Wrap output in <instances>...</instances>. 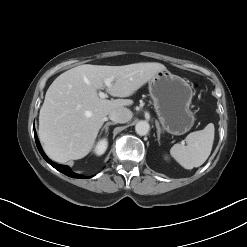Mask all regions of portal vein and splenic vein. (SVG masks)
<instances>
[{
  "label": "portal vein and splenic vein",
  "instance_id": "1",
  "mask_svg": "<svg viewBox=\"0 0 247 247\" xmlns=\"http://www.w3.org/2000/svg\"><path fill=\"white\" fill-rule=\"evenodd\" d=\"M113 80H114L113 78H106L104 80V83H105L107 88H110L112 86ZM99 97L104 99V98H107L108 95L106 93H104V92H99Z\"/></svg>",
  "mask_w": 247,
  "mask_h": 247
}]
</instances>
